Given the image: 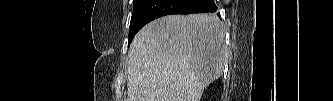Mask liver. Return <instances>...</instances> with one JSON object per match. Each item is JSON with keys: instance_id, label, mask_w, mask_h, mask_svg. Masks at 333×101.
<instances>
[{"instance_id": "liver-1", "label": "liver", "mask_w": 333, "mask_h": 101, "mask_svg": "<svg viewBox=\"0 0 333 101\" xmlns=\"http://www.w3.org/2000/svg\"><path fill=\"white\" fill-rule=\"evenodd\" d=\"M128 101H200L227 61L216 15H168L143 27L128 52Z\"/></svg>"}]
</instances>
